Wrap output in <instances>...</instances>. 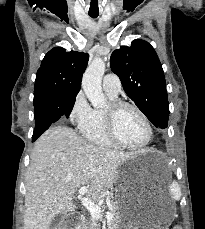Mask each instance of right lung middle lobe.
<instances>
[{
	"instance_id": "1",
	"label": "right lung middle lobe",
	"mask_w": 205,
	"mask_h": 229,
	"mask_svg": "<svg viewBox=\"0 0 205 229\" xmlns=\"http://www.w3.org/2000/svg\"><path fill=\"white\" fill-rule=\"evenodd\" d=\"M75 97L76 95H70L68 96L67 98L71 101V102H74L75 101ZM54 98H44V99H40L38 101H34L33 102V105L36 107V106H39L41 105L42 103L46 102V101H49V100H52Z\"/></svg>"
}]
</instances>
